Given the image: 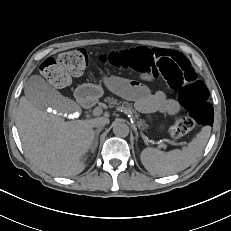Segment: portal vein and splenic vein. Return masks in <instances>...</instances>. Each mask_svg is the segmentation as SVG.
<instances>
[{"mask_svg":"<svg viewBox=\"0 0 231 231\" xmlns=\"http://www.w3.org/2000/svg\"><path fill=\"white\" fill-rule=\"evenodd\" d=\"M120 111H123V108H119ZM103 110L101 107H96L93 112L92 115L94 116H100L102 114ZM162 148H165V145H161Z\"/></svg>","mask_w":231,"mask_h":231,"instance_id":"obj_1","label":"portal vein and splenic vein"}]
</instances>
